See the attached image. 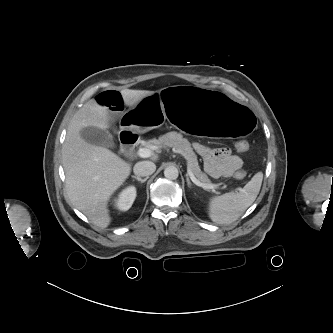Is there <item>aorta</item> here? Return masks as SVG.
Masks as SVG:
<instances>
[{"label":"aorta","instance_id":"obj_1","mask_svg":"<svg viewBox=\"0 0 333 333\" xmlns=\"http://www.w3.org/2000/svg\"><path fill=\"white\" fill-rule=\"evenodd\" d=\"M164 176H165L167 179L175 180V179H177L178 176H179L178 169H177L175 166H168V167H166L165 170H164Z\"/></svg>","mask_w":333,"mask_h":333}]
</instances>
